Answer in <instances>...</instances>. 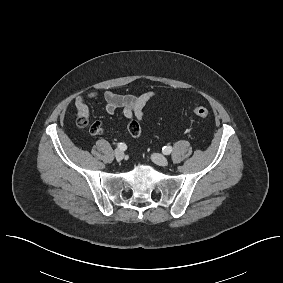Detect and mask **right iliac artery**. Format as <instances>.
Instances as JSON below:
<instances>
[{
  "label": "right iliac artery",
  "mask_w": 283,
  "mask_h": 283,
  "mask_svg": "<svg viewBox=\"0 0 283 283\" xmlns=\"http://www.w3.org/2000/svg\"><path fill=\"white\" fill-rule=\"evenodd\" d=\"M118 148H120V150L124 151V150L127 149V146L124 143H118Z\"/></svg>",
  "instance_id": "82829eb1"
}]
</instances>
